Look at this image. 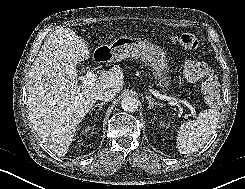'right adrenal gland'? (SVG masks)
Wrapping results in <instances>:
<instances>
[{"mask_svg": "<svg viewBox=\"0 0 245 189\" xmlns=\"http://www.w3.org/2000/svg\"><path fill=\"white\" fill-rule=\"evenodd\" d=\"M107 102H101L98 104L93 105L92 111L95 110L96 107H99V110H101L102 106L105 105Z\"/></svg>", "mask_w": 245, "mask_h": 189, "instance_id": "obj_1", "label": "right adrenal gland"}]
</instances>
